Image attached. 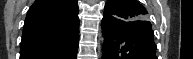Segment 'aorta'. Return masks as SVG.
<instances>
[{"label": "aorta", "mask_w": 193, "mask_h": 59, "mask_svg": "<svg viewBox=\"0 0 193 59\" xmlns=\"http://www.w3.org/2000/svg\"><path fill=\"white\" fill-rule=\"evenodd\" d=\"M101 40H102V42H103L104 38L102 37Z\"/></svg>", "instance_id": "762f6f07"}]
</instances>
